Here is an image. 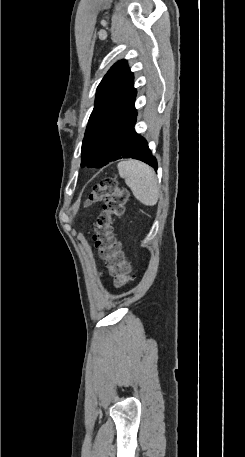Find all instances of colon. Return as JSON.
I'll return each mask as SVG.
<instances>
[{
  "mask_svg": "<svg viewBox=\"0 0 245 457\" xmlns=\"http://www.w3.org/2000/svg\"><path fill=\"white\" fill-rule=\"evenodd\" d=\"M128 198V192L119 186L117 179L107 177L94 185L87 199V204L103 202L102 211L95 221L94 240L117 288L127 285L132 279L130 263L113 230V221L124 214Z\"/></svg>",
  "mask_w": 245,
  "mask_h": 457,
  "instance_id": "5ec220e1",
  "label": "colon"
}]
</instances>
